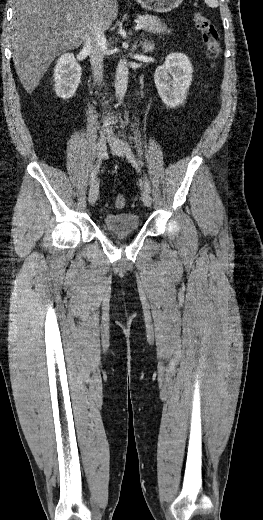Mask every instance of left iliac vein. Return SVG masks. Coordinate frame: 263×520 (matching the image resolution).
<instances>
[{
	"instance_id": "1",
	"label": "left iliac vein",
	"mask_w": 263,
	"mask_h": 520,
	"mask_svg": "<svg viewBox=\"0 0 263 520\" xmlns=\"http://www.w3.org/2000/svg\"><path fill=\"white\" fill-rule=\"evenodd\" d=\"M110 147H111V150H112L113 154H115V155H117L119 157H124L125 156V153H126L125 145L122 142V140H120L119 138L114 137L110 141ZM141 198H142V201H143L145 206H147V207L151 206L152 198H151L150 193L148 191L144 190L142 192Z\"/></svg>"
}]
</instances>
